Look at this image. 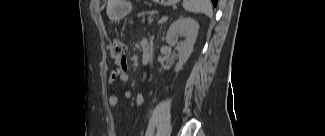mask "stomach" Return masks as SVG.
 <instances>
[{
    "instance_id": "obj_1",
    "label": "stomach",
    "mask_w": 325,
    "mask_h": 136,
    "mask_svg": "<svg viewBox=\"0 0 325 136\" xmlns=\"http://www.w3.org/2000/svg\"><path fill=\"white\" fill-rule=\"evenodd\" d=\"M156 2L164 6H170L176 4L178 0H156ZM129 11H130V5L127 1L117 0L112 11L113 20L117 21L122 19L124 16H126L129 13Z\"/></svg>"
}]
</instances>
